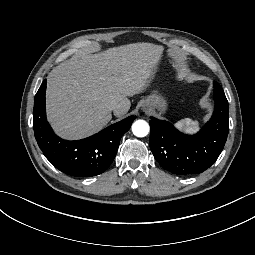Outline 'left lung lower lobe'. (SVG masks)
Listing matches in <instances>:
<instances>
[{
    "mask_svg": "<svg viewBox=\"0 0 255 255\" xmlns=\"http://www.w3.org/2000/svg\"><path fill=\"white\" fill-rule=\"evenodd\" d=\"M215 111L201 131L185 135L169 122L154 117L150 123V149L161 167L176 175L202 173L223 150L229 131L228 101L214 81Z\"/></svg>",
    "mask_w": 255,
    "mask_h": 255,
    "instance_id": "left-lung-lower-lobe-1",
    "label": "left lung lower lobe"
}]
</instances>
